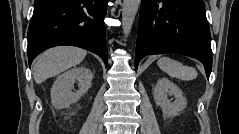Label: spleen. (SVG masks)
<instances>
[{
    "instance_id": "1",
    "label": "spleen",
    "mask_w": 239,
    "mask_h": 134,
    "mask_svg": "<svg viewBox=\"0 0 239 134\" xmlns=\"http://www.w3.org/2000/svg\"><path fill=\"white\" fill-rule=\"evenodd\" d=\"M157 64L162 71L174 78L190 81L197 77V70L195 68L183 66L177 60L167 56L161 57Z\"/></svg>"
}]
</instances>
